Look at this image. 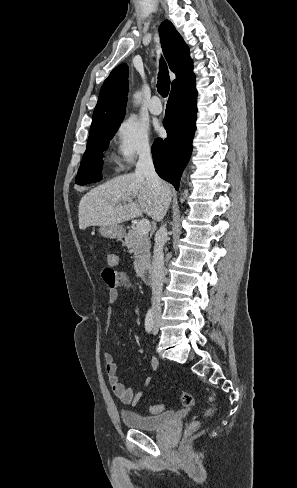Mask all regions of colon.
I'll return each instance as SVG.
<instances>
[{
    "mask_svg": "<svg viewBox=\"0 0 297 488\" xmlns=\"http://www.w3.org/2000/svg\"><path fill=\"white\" fill-rule=\"evenodd\" d=\"M101 276H102V279L104 280V282L106 283L107 286H111L114 283L115 272H114V270L110 266L107 265L102 270ZM181 402H182V404L184 406H192V405L195 404V398L190 393L183 391L181 393ZM209 402H210V406L205 411L204 417H210L215 412L214 397L210 396L209 397ZM164 408L165 407H164L163 404H157V405H154V406H150L149 407V411L151 413H153V414H156V413L162 412L164 410ZM200 424H201L200 421H193L189 425V429L190 430H196L197 428H199Z\"/></svg>",
    "mask_w": 297,
    "mask_h": 488,
    "instance_id": "5ec220e1",
    "label": "colon"
}]
</instances>
